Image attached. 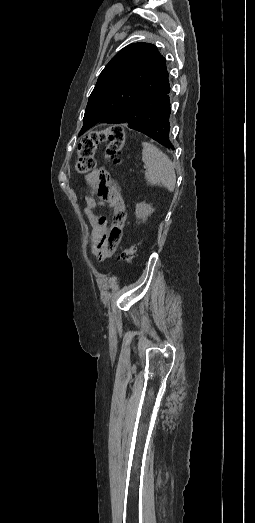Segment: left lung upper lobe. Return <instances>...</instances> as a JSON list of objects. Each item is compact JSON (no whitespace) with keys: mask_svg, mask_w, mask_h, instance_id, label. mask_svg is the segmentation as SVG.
Wrapping results in <instances>:
<instances>
[{"mask_svg":"<svg viewBox=\"0 0 255 523\" xmlns=\"http://www.w3.org/2000/svg\"><path fill=\"white\" fill-rule=\"evenodd\" d=\"M169 93L166 60L157 47L143 42L130 44L99 75L79 135L98 122L126 123L134 129L161 121L170 115Z\"/></svg>","mask_w":255,"mask_h":523,"instance_id":"left-lung-upper-lobe-1","label":"left lung upper lobe"}]
</instances>
